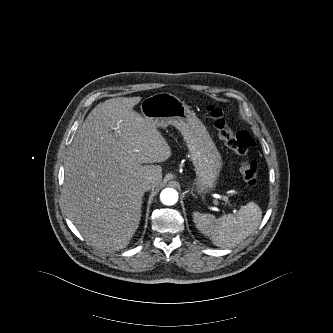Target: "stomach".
<instances>
[{"label":"stomach","mask_w":333,"mask_h":333,"mask_svg":"<svg viewBox=\"0 0 333 333\" xmlns=\"http://www.w3.org/2000/svg\"><path fill=\"white\" fill-rule=\"evenodd\" d=\"M140 110L156 126L173 125L181 132L195 167V189L203 194L214 190L222 158L205 127L185 102L171 93L160 92L144 98Z\"/></svg>","instance_id":"1"}]
</instances>
